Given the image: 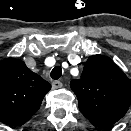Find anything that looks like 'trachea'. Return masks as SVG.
I'll return each mask as SVG.
<instances>
[{"label":"trachea","instance_id":"1","mask_svg":"<svg viewBox=\"0 0 131 131\" xmlns=\"http://www.w3.org/2000/svg\"><path fill=\"white\" fill-rule=\"evenodd\" d=\"M51 78L57 80L62 75V68L60 66H55L51 71Z\"/></svg>","mask_w":131,"mask_h":131}]
</instances>
